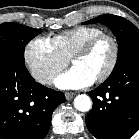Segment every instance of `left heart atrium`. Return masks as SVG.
I'll return each instance as SVG.
<instances>
[{
    "instance_id": "obj_1",
    "label": "left heart atrium",
    "mask_w": 139,
    "mask_h": 139,
    "mask_svg": "<svg viewBox=\"0 0 139 139\" xmlns=\"http://www.w3.org/2000/svg\"><path fill=\"white\" fill-rule=\"evenodd\" d=\"M95 80V77L82 68L73 66L55 79V85L61 89H79L92 85Z\"/></svg>"
}]
</instances>
